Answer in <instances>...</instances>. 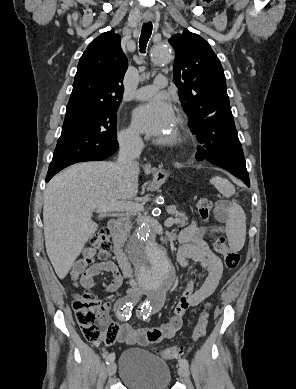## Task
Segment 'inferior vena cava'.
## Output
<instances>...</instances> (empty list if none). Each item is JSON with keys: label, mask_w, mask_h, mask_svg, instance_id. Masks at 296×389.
Listing matches in <instances>:
<instances>
[{"label": "inferior vena cava", "mask_w": 296, "mask_h": 389, "mask_svg": "<svg viewBox=\"0 0 296 389\" xmlns=\"http://www.w3.org/2000/svg\"><path fill=\"white\" fill-rule=\"evenodd\" d=\"M143 146V141L138 134L128 133L124 135L120 139L118 164L129 173L136 174L135 159L140 156ZM130 285L135 290L136 283L133 279L130 280Z\"/></svg>", "instance_id": "1"}]
</instances>
